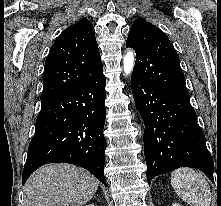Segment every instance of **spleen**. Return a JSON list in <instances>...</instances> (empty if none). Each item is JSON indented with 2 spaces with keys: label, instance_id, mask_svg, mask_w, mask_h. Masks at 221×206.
<instances>
[{
  "label": "spleen",
  "instance_id": "obj_1",
  "mask_svg": "<svg viewBox=\"0 0 221 206\" xmlns=\"http://www.w3.org/2000/svg\"><path fill=\"white\" fill-rule=\"evenodd\" d=\"M171 185L190 206H210V187L201 173L190 168L177 169L171 173Z\"/></svg>",
  "mask_w": 221,
  "mask_h": 206
}]
</instances>
